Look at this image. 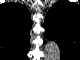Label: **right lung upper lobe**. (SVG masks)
<instances>
[{
  "label": "right lung upper lobe",
  "instance_id": "right-lung-upper-lobe-1",
  "mask_svg": "<svg viewBox=\"0 0 80 60\" xmlns=\"http://www.w3.org/2000/svg\"><path fill=\"white\" fill-rule=\"evenodd\" d=\"M31 14L18 3H6L0 6V46L2 52L26 59L30 49Z\"/></svg>",
  "mask_w": 80,
  "mask_h": 60
}]
</instances>
